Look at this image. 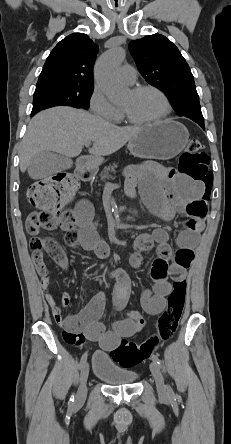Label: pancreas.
<instances>
[{"label": "pancreas", "mask_w": 231, "mask_h": 444, "mask_svg": "<svg viewBox=\"0 0 231 444\" xmlns=\"http://www.w3.org/2000/svg\"><path fill=\"white\" fill-rule=\"evenodd\" d=\"M118 168V163H113L108 167H105L103 171L100 173L101 181L112 178V175L116 173V169Z\"/></svg>", "instance_id": "pancreas-1"}]
</instances>
